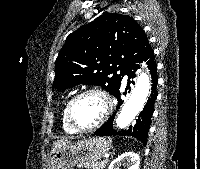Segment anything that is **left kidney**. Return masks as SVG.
<instances>
[{
  "label": "left kidney",
  "instance_id": "1",
  "mask_svg": "<svg viewBox=\"0 0 200 169\" xmlns=\"http://www.w3.org/2000/svg\"><path fill=\"white\" fill-rule=\"evenodd\" d=\"M140 156L135 152H125L114 159L108 169H120L121 165H126L127 169H139Z\"/></svg>",
  "mask_w": 200,
  "mask_h": 169
}]
</instances>
